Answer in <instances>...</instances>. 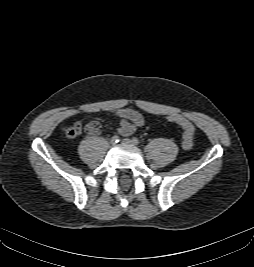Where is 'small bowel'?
<instances>
[{
  "mask_svg": "<svg viewBox=\"0 0 254 267\" xmlns=\"http://www.w3.org/2000/svg\"><path fill=\"white\" fill-rule=\"evenodd\" d=\"M111 112L113 115L121 119L117 129L118 134L121 136H130L144 124V117L134 109L120 108L112 110ZM75 126L81 128L79 123H76ZM100 131L101 126L97 121L90 122L86 126V132L90 136H96L100 133Z\"/></svg>",
  "mask_w": 254,
  "mask_h": 267,
  "instance_id": "obj_1",
  "label": "small bowel"
}]
</instances>
